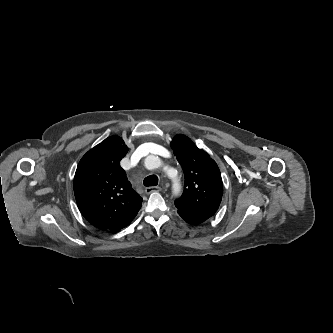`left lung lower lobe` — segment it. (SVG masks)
<instances>
[{"label":"left lung lower lobe","instance_id":"obj_1","mask_svg":"<svg viewBox=\"0 0 333 333\" xmlns=\"http://www.w3.org/2000/svg\"><path fill=\"white\" fill-rule=\"evenodd\" d=\"M177 212L187 223L192 224V225L200 224L208 219L203 216L189 214L186 212H182L180 210H177Z\"/></svg>","mask_w":333,"mask_h":333}]
</instances>
